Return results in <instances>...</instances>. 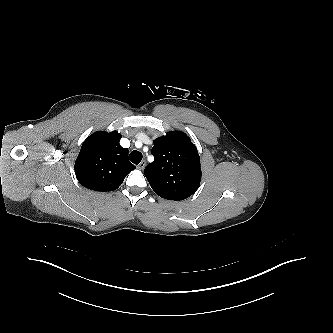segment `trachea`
<instances>
[{"label": "trachea", "instance_id": "1", "mask_svg": "<svg viewBox=\"0 0 333 333\" xmlns=\"http://www.w3.org/2000/svg\"><path fill=\"white\" fill-rule=\"evenodd\" d=\"M142 160V153L137 151V150H133L131 153H130V161L133 163V164H139Z\"/></svg>", "mask_w": 333, "mask_h": 333}]
</instances>
